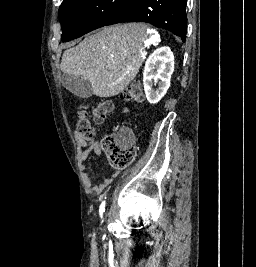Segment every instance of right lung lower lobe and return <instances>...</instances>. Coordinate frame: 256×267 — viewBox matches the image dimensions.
<instances>
[{
    "label": "right lung lower lobe",
    "instance_id": "98d812e1",
    "mask_svg": "<svg viewBox=\"0 0 256 267\" xmlns=\"http://www.w3.org/2000/svg\"><path fill=\"white\" fill-rule=\"evenodd\" d=\"M187 0H138L130 13L119 16L106 25L120 22H147L158 28L169 30L186 39Z\"/></svg>",
    "mask_w": 256,
    "mask_h": 267
}]
</instances>
